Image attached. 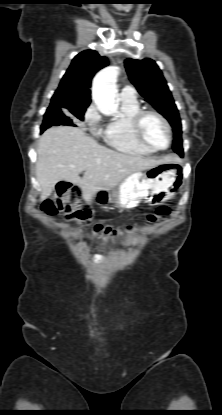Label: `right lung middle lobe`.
Instances as JSON below:
<instances>
[{
  "label": "right lung middle lobe",
  "instance_id": "obj_1",
  "mask_svg": "<svg viewBox=\"0 0 222 415\" xmlns=\"http://www.w3.org/2000/svg\"><path fill=\"white\" fill-rule=\"evenodd\" d=\"M89 106V104H70V105H60V106H51L47 109L45 114L51 115H57L61 117V122L64 125H70L74 126L72 119L67 115H73L76 118L83 120L84 119V113L86 111V108Z\"/></svg>",
  "mask_w": 222,
  "mask_h": 415
}]
</instances>
